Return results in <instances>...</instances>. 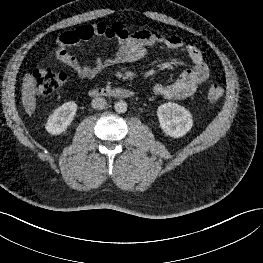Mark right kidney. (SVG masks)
Wrapping results in <instances>:
<instances>
[{"label": "right kidney", "mask_w": 263, "mask_h": 263, "mask_svg": "<svg viewBox=\"0 0 263 263\" xmlns=\"http://www.w3.org/2000/svg\"><path fill=\"white\" fill-rule=\"evenodd\" d=\"M77 111V104L73 101L59 106L48 118L46 130L51 135H60L70 126Z\"/></svg>", "instance_id": "obj_1"}]
</instances>
